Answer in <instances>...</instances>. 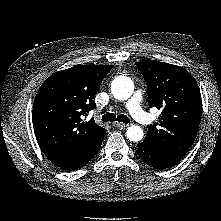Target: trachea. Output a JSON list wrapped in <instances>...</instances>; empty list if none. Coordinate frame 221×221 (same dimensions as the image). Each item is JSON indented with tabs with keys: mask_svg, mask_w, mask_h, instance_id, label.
Listing matches in <instances>:
<instances>
[{
	"mask_svg": "<svg viewBox=\"0 0 221 221\" xmlns=\"http://www.w3.org/2000/svg\"><path fill=\"white\" fill-rule=\"evenodd\" d=\"M102 121L105 122L118 121L122 123H129V118L124 114L116 116L114 113H106L102 116Z\"/></svg>",
	"mask_w": 221,
	"mask_h": 221,
	"instance_id": "trachea-1",
	"label": "trachea"
}]
</instances>
